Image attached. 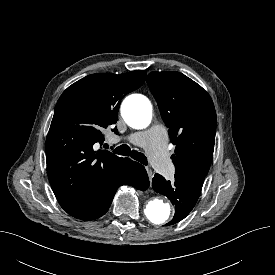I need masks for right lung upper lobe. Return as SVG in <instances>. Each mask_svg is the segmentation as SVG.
<instances>
[{
    "instance_id": "obj_1",
    "label": "right lung upper lobe",
    "mask_w": 275,
    "mask_h": 275,
    "mask_svg": "<svg viewBox=\"0 0 275 275\" xmlns=\"http://www.w3.org/2000/svg\"><path fill=\"white\" fill-rule=\"evenodd\" d=\"M145 78V70L92 74L60 96L45 144L47 174L57 201L71 216L86 212L123 167L126 158L94 148L103 143L104 129L117 122L123 97Z\"/></svg>"
}]
</instances>
